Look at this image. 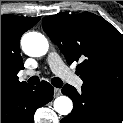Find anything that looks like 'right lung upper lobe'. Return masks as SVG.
Here are the masks:
<instances>
[{"label": "right lung upper lobe", "instance_id": "cb5924a9", "mask_svg": "<svg viewBox=\"0 0 123 123\" xmlns=\"http://www.w3.org/2000/svg\"><path fill=\"white\" fill-rule=\"evenodd\" d=\"M39 20L40 17L1 16V95L18 93L29 87L17 77L24 68L19 41Z\"/></svg>", "mask_w": 123, "mask_h": 123}]
</instances>
